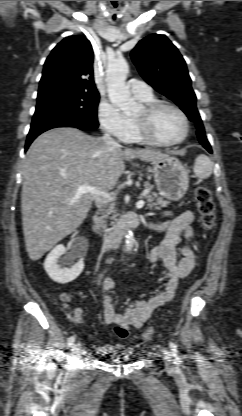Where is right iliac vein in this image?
Returning <instances> with one entry per match:
<instances>
[{"label":"right iliac vein","mask_w":242,"mask_h":416,"mask_svg":"<svg viewBox=\"0 0 242 416\" xmlns=\"http://www.w3.org/2000/svg\"><path fill=\"white\" fill-rule=\"evenodd\" d=\"M79 346L77 344L72 347V357L76 358L79 355Z\"/></svg>","instance_id":"right-iliac-vein-1"}]
</instances>
